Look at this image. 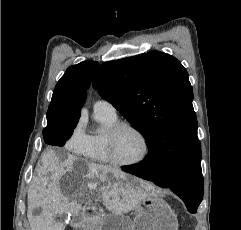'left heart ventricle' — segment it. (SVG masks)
I'll return each mask as SVG.
<instances>
[{"instance_id": "left-heart-ventricle-1", "label": "left heart ventricle", "mask_w": 241, "mask_h": 230, "mask_svg": "<svg viewBox=\"0 0 241 230\" xmlns=\"http://www.w3.org/2000/svg\"><path fill=\"white\" fill-rule=\"evenodd\" d=\"M143 150V142L133 130L124 128L116 136L115 154L119 160H136L142 155Z\"/></svg>"}]
</instances>
